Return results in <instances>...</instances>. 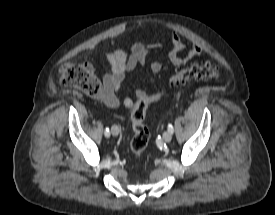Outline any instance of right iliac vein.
<instances>
[{
    "label": "right iliac vein",
    "mask_w": 275,
    "mask_h": 215,
    "mask_svg": "<svg viewBox=\"0 0 275 215\" xmlns=\"http://www.w3.org/2000/svg\"><path fill=\"white\" fill-rule=\"evenodd\" d=\"M111 133L114 135V136H117L119 134V127L117 125H113L111 127Z\"/></svg>",
    "instance_id": "right-iliac-vein-1"
}]
</instances>
